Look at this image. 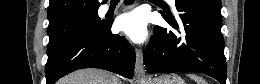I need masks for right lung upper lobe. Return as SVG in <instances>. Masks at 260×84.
<instances>
[{"mask_svg": "<svg viewBox=\"0 0 260 84\" xmlns=\"http://www.w3.org/2000/svg\"><path fill=\"white\" fill-rule=\"evenodd\" d=\"M98 0H50L48 28L56 27L82 15L98 11Z\"/></svg>", "mask_w": 260, "mask_h": 84, "instance_id": "cb5924a9", "label": "right lung upper lobe"}]
</instances>
